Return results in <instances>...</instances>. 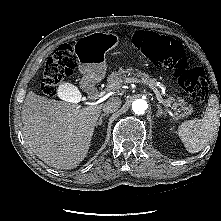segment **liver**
<instances>
[{
	"label": "liver",
	"mask_w": 221,
	"mask_h": 221,
	"mask_svg": "<svg viewBox=\"0 0 221 221\" xmlns=\"http://www.w3.org/2000/svg\"><path fill=\"white\" fill-rule=\"evenodd\" d=\"M69 91L76 87L66 84ZM102 105L82 107L28 92L22 106L23 135L46 164L73 169L86 157Z\"/></svg>",
	"instance_id": "6515ba94"
}]
</instances>
